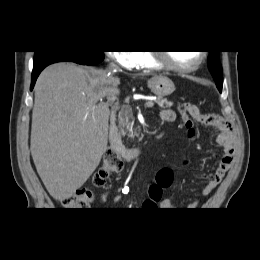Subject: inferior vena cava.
<instances>
[{
  "mask_svg": "<svg viewBox=\"0 0 260 260\" xmlns=\"http://www.w3.org/2000/svg\"><path fill=\"white\" fill-rule=\"evenodd\" d=\"M117 67L116 65H114L113 63H111L110 65H108L107 67V72H111L114 73L116 71Z\"/></svg>",
  "mask_w": 260,
  "mask_h": 260,
  "instance_id": "inferior-vena-cava-1",
  "label": "inferior vena cava"
}]
</instances>
